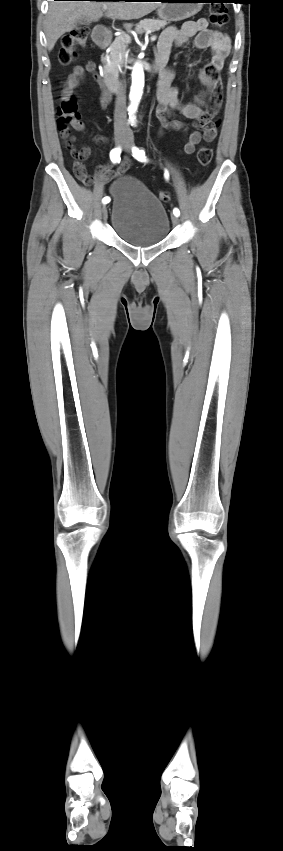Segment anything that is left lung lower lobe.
Wrapping results in <instances>:
<instances>
[{
  "mask_svg": "<svg viewBox=\"0 0 283 851\" xmlns=\"http://www.w3.org/2000/svg\"><path fill=\"white\" fill-rule=\"evenodd\" d=\"M162 1H169V0H162ZM227 3H232V2H227Z\"/></svg>",
  "mask_w": 283,
  "mask_h": 851,
  "instance_id": "obj_1",
  "label": "left lung lower lobe"
}]
</instances>
